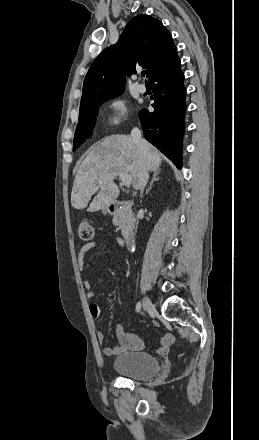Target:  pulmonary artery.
I'll return each mask as SVG.
<instances>
[{"mask_svg": "<svg viewBox=\"0 0 259 440\" xmlns=\"http://www.w3.org/2000/svg\"><path fill=\"white\" fill-rule=\"evenodd\" d=\"M137 90H138L140 93H144V92L146 91V87H145L144 84L140 83V84L137 85Z\"/></svg>", "mask_w": 259, "mask_h": 440, "instance_id": "e3ab8cb5", "label": "pulmonary artery"}]
</instances>
